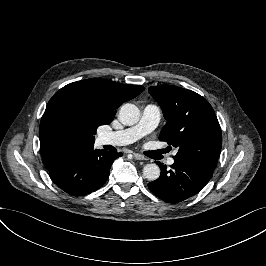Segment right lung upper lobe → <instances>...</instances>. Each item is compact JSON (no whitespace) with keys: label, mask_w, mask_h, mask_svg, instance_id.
<instances>
[{"label":"right lung upper lobe","mask_w":266,"mask_h":266,"mask_svg":"<svg viewBox=\"0 0 266 266\" xmlns=\"http://www.w3.org/2000/svg\"><path fill=\"white\" fill-rule=\"evenodd\" d=\"M143 86L125 85L105 79L70 83L50 99L39 128L40 151L49 170L66 152L94 144L91 133L76 114L80 106L97 113L102 125L112 122L115 110L144 91Z\"/></svg>","instance_id":"1"}]
</instances>
